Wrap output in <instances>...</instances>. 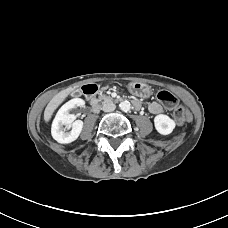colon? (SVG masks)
Here are the masks:
<instances>
[{
  "instance_id": "colon-1",
  "label": "colon",
  "mask_w": 228,
  "mask_h": 228,
  "mask_svg": "<svg viewBox=\"0 0 228 228\" xmlns=\"http://www.w3.org/2000/svg\"><path fill=\"white\" fill-rule=\"evenodd\" d=\"M157 99L163 104L174 107V117L180 124L185 123L190 115L183 106L178 105L176 97L166 90H161L157 93Z\"/></svg>"
}]
</instances>
